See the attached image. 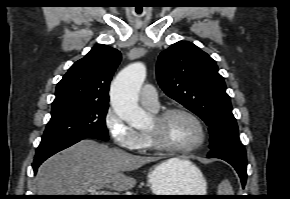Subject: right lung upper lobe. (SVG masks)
I'll list each match as a JSON object with an SVG mask.
<instances>
[{
    "label": "right lung upper lobe",
    "instance_id": "cb5924a9",
    "mask_svg": "<svg viewBox=\"0 0 290 199\" xmlns=\"http://www.w3.org/2000/svg\"><path fill=\"white\" fill-rule=\"evenodd\" d=\"M120 60L117 49L95 45L57 84L52 108L74 103L108 104L109 84Z\"/></svg>",
    "mask_w": 290,
    "mask_h": 199
}]
</instances>
